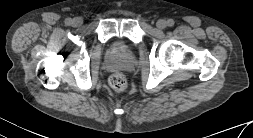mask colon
<instances>
[{
  "label": "colon",
  "mask_w": 253,
  "mask_h": 138,
  "mask_svg": "<svg viewBox=\"0 0 253 138\" xmlns=\"http://www.w3.org/2000/svg\"><path fill=\"white\" fill-rule=\"evenodd\" d=\"M110 86L116 92H123L127 87V80L122 73H114L109 79Z\"/></svg>",
  "instance_id": "1"
}]
</instances>
